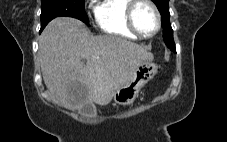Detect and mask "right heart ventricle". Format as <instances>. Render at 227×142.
Segmentation results:
<instances>
[{
    "label": "right heart ventricle",
    "instance_id": "right-heart-ventricle-1",
    "mask_svg": "<svg viewBox=\"0 0 227 142\" xmlns=\"http://www.w3.org/2000/svg\"><path fill=\"white\" fill-rule=\"evenodd\" d=\"M131 0H101L95 8L97 27L104 34L137 40L127 26L125 12Z\"/></svg>",
    "mask_w": 227,
    "mask_h": 142
}]
</instances>
